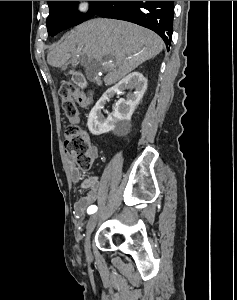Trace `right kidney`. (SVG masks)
Returning <instances> with one entry per match:
<instances>
[{
    "instance_id": "obj_1",
    "label": "right kidney",
    "mask_w": 237,
    "mask_h": 300,
    "mask_svg": "<svg viewBox=\"0 0 237 300\" xmlns=\"http://www.w3.org/2000/svg\"><path fill=\"white\" fill-rule=\"evenodd\" d=\"M133 91V93H126V91ZM147 89V79L141 73H130L125 79L119 81L117 85L108 89L103 93L95 107L91 109L87 121V127L92 135H103L114 131L116 123L120 121H128L131 119L139 101H141ZM114 95H125V99H119L116 103V109L112 115L104 117L101 113L102 107L110 101Z\"/></svg>"
}]
</instances>
